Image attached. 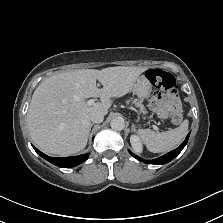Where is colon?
Returning <instances> with one entry per match:
<instances>
[{"mask_svg": "<svg viewBox=\"0 0 223 223\" xmlns=\"http://www.w3.org/2000/svg\"><path fill=\"white\" fill-rule=\"evenodd\" d=\"M148 80L157 87L163 89L167 94H177L178 87L176 85L174 77L161 69H151L147 72ZM183 120V114L181 110L175 111L171 115V123L178 125Z\"/></svg>", "mask_w": 223, "mask_h": 223, "instance_id": "1", "label": "colon"}]
</instances>
